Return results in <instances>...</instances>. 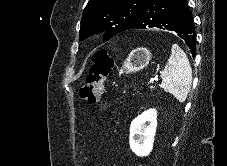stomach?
I'll return each instance as SVG.
<instances>
[{
	"mask_svg": "<svg viewBox=\"0 0 227 166\" xmlns=\"http://www.w3.org/2000/svg\"><path fill=\"white\" fill-rule=\"evenodd\" d=\"M151 52L144 47L134 49L123 62L119 74H129L140 71L147 67L151 60Z\"/></svg>",
	"mask_w": 227,
	"mask_h": 166,
	"instance_id": "0dacf381",
	"label": "stomach"
}]
</instances>
